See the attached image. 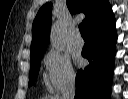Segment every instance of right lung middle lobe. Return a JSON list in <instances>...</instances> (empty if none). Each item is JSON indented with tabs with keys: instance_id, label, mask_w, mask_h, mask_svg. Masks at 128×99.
Instances as JSON below:
<instances>
[{
	"instance_id": "right-lung-middle-lobe-1",
	"label": "right lung middle lobe",
	"mask_w": 128,
	"mask_h": 99,
	"mask_svg": "<svg viewBox=\"0 0 128 99\" xmlns=\"http://www.w3.org/2000/svg\"><path fill=\"white\" fill-rule=\"evenodd\" d=\"M42 55L43 54L30 58L31 66H30L29 86H32L34 81H36L37 79Z\"/></svg>"
}]
</instances>
